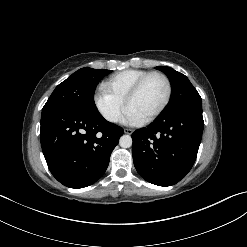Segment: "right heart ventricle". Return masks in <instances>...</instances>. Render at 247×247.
Returning a JSON list of instances; mask_svg holds the SVG:
<instances>
[{
  "mask_svg": "<svg viewBox=\"0 0 247 247\" xmlns=\"http://www.w3.org/2000/svg\"><path fill=\"white\" fill-rule=\"evenodd\" d=\"M149 71L141 69H130L116 73L109 77L104 86L114 95L125 101L131 88Z\"/></svg>",
  "mask_w": 247,
  "mask_h": 247,
  "instance_id": "e07e8e85",
  "label": "right heart ventricle"
}]
</instances>
